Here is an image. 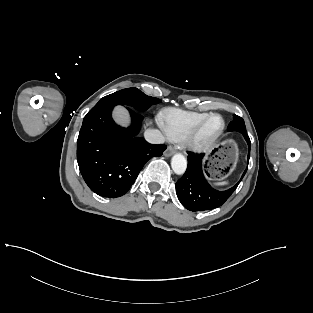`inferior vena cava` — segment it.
<instances>
[{
  "label": "inferior vena cava",
  "instance_id": "1",
  "mask_svg": "<svg viewBox=\"0 0 313 313\" xmlns=\"http://www.w3.org/2000/svg\"><path fill=\"white\" fill-rule=\"evenodd\" d=\"M144 137L152 144H163L165 142L163 134L155 129H147L144 133Z\"/></svg>",
  "mask_w": 313,
  "mask_h": 313
}]
</instances>
